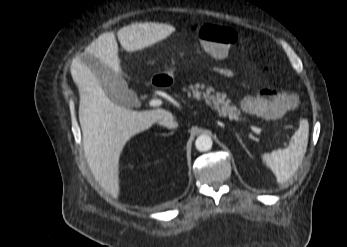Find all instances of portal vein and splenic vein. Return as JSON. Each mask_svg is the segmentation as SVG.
Instances as JSON below:
<instances>
[{"instance_id":"18ae733b","label":"portal vein and splenic vein","mask_w":347,"mask_h":247,"mask_svg":"<svg viewBox=\"0 0 347 247\" xmlns=\"http://www.w3.org/2000/svg\"><path fill=\"white\" fill-rule=\"evenodd\" d=\"M162 104V101L160 99H151L149 101V105L156 107V106H160ZM250 128L252 129L253 132H255L256 134H260L261 133V129L255 126H250Z\"/></svg>"}]
</instances>
